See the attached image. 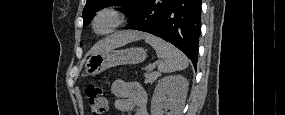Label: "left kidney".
Returning a JSON list of instances; mask_svg holds the SVG:
<instances>
[{
  "label": "left kidney",
  "mask_w": 285,
  "mask_h": 115,
  "mask_svg": "<svg viewBox=\"0 0 285 115\" xmlns=\"http://www.w3.org/2000/svg\"><path fill=\"white\" fill-rule=\"evenodd\" d=\"M188 81L181 75H171L158 81L151 101V115H180L185 105Z\"/></svg>",
  "instance_id": "obj_1"
}]
</instances>
